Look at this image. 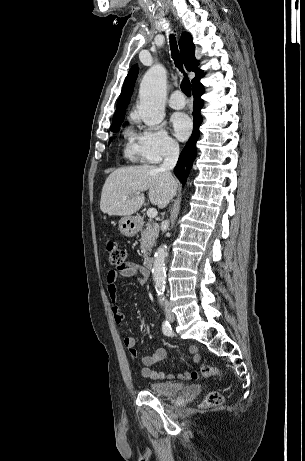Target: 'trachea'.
I'll return each mask as SVG.
<instances>
[{
    "instance_id": "trachea-1",
    "label": "trachea",
    "mask_w": 305,
    "mask_h": 461,
    "mask_svg": "<svg viewBox=\"0 0 305 461\" xmlns=\"http://www.w3.org/2000/svg\"><path fill=\"white\" fill-rule=\"evenodd\" d=\"M170 47H171V52H172V58L174 60V63L176 65V67L180 71H183V65H182V62H181V58H180L177 43H176V38L174 37V35H170ZM184 75H185V78H184V80H183V82L181 84V90L186 96L190 97L191 96L190 81L187 78L186 74H184Z\"/></svg>"
}]
</instances>
